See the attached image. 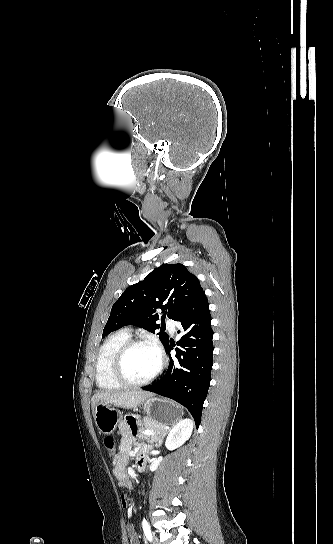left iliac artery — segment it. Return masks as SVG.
Wrapping results in <instances>:
<instances>
[{
	"label": "left iliac artery",
	"mask_w": 333,
	"mask_h": 544,
	"mask_svg": "<svg viewBox=\"0 0 333 544\" xmlns=\"http://www.w3.org/2000/svg\"><path fill=\"white\" fill-rule=\"evenodd\" d=\"M142 527H143V531H144V534L146 536V538L149 540V541H152V533H151V530H150V526L147 522L146 519H143L142 521Z\"/></svg>",
	"instance_id": "left-iliac-artery-1"
}]
</instances>
